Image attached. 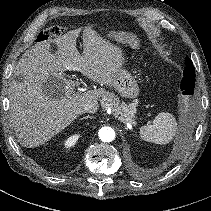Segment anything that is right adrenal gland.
<instances>
[{
    "label": "right adrenal gland",
    "mask_w": 211,
    "mask_h": 211,
    "mask_svg": "<svg viewBox=\"0 0 211 211\" xmlns=\"http://www.w3.org/2000/svg\"><path fill=\"white\" fill-rule=\"evenodd\" d=\"M88 118L92 119L93 116L87 115V116H85V117H83V118H80L79 120L88 119Z\"/></svg>",
    "instance_id": "2a0ac1e0"
}]
</instances>
